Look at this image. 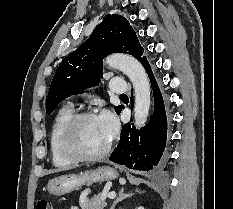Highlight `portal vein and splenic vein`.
Returning a JSON list of instances; mask_svg holds the SVG:
<instances>
[{
	"label": "portal vein and splenic vein",
	"mask_w": 233,
	"mask_h": 209,
	"mask_svg": "<svg viewBox=\"0 0 233 209\" xmlns=\"http://www.w3.org/2000/svg\"><path fill=\"white\" fill-rule=\"evenodd\" d=\"M110 199H114L116 197V193L115 192H110L108 195H107Z\"/></svg>",
	"instance_id": "18ae733b"
}]
</instances>
